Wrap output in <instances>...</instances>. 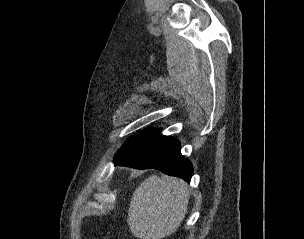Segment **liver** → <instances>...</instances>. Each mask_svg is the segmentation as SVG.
I'll return each mask as SVG.
<instances>
[{"mask_svg": "<svg viewBox=\"0 0 304 239\" xmlns=\"http://www.w3.org/2000/svg\"><path fill=\"white\" fill-rule=\"evenodd\" d=\"M189 201L186 183L175 177L146 178L135 190L127 223L139 239H161L174 233L185 217Z\"/></svg>", "mask_w": 304, "mask_h": 239, "instance_id": "obj_1", "label": "liver"}]
</instances>
